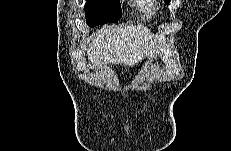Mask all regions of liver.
<instances>
[{
  "mask_svg": "<svg viewBox=\"0 0 231 151\" xmlns=\"http://www.w3.org/2000/svg\"><path fill=\"white\" fill-rule=\"evenodd\" d=\"M89 65L107 64L134 66L144 57L155 58V42L150 31L142 26H108L91 37Z\"/></svg>",
  "mask_w": 231,
  "mask_h": 151,
  "instance_id": "1",
  "label": "liver"
}]
</instances>
